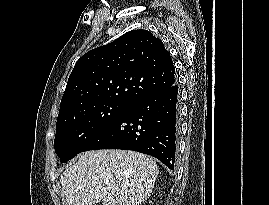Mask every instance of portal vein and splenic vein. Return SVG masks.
Masks as SVG:
<instances>
[{
    "label": "portal vein and splenic vein",
    "mask_w": 269,
    "mask_h": 205,
    "mask_svg": "<svg viewBox=\"0 0 269 205\" xmlns=\"http://www.w3.org/2000/svg\"><path fill=\"white\" fill-rule=\"evenodd\" d=\"M108 189H109V191H110V190H111V187H109Z\"/></svg>",
    "instance_id": "obj_1"
}]
</instances>
